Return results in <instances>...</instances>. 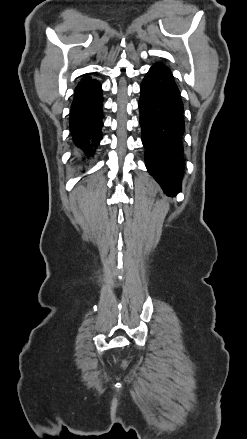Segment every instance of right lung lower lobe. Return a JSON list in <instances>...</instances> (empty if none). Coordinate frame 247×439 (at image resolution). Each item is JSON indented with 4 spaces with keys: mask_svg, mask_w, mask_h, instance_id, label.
Here are the masks:
<instances>
[{
    "mask_svg": "<svg viewBox=\"0 0 247 439\" xmlns=\"http://www.w3.org/2000/svg\"><path fill=\"white\" fill-rule=\"evenodd\" d=\"M102 89L99 82L76 89L70 113V128L79 152L90 155L102 138Z\"/></svg>",
    "mask_w": 247,
    "mask_h": 439,
    "instance_id": "1",
    "label": "right lung lower lobe"
}]
</instances>
